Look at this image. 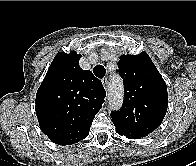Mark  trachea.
Instances as JSON below:
<instances>
[{
    "instance_id": "3493384b",
    "label": "trachea",
    "mask_w": 196,
    "mask_h": 166,
    "mask_svg": "<svg viewBox=\"0 0 196 166\" xmlns=\"http://www.w3.org/2000/svg\"><path fill=\"white\" fill-rule=\"evenodd\" d=\"M93 72L98 78H103L105 76L106 70L102 65H96Z\"/></svg>"
}]
</instances>
